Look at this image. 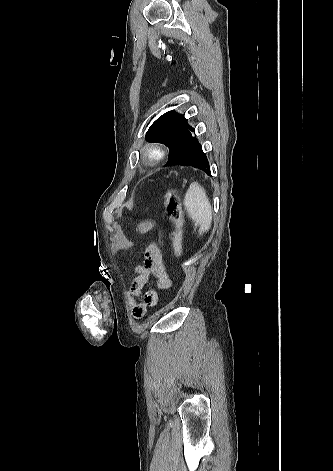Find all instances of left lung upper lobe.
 <instances>
[{
    "label": "left lung upper lobe",
    "instance_id": "left-lung-upper-lobe-1",
    "mask_svg": "<svg viewBox=\"0 0 333 471\" xmlns=\"http://www.w3.org/2000/svg\"><path fill=\"white\" fill-rule=\"evenodd\" d=\"M192 132H194V128L187 123V119L183 115L169 111L150 126L146 133V140L168 146L170 160L194 139Z\"/></svg>",
    "mask_w": 333,
    "mask_h": 471
}]
</instances>
